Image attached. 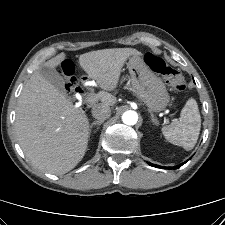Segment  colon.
<instances>
[{"instance_id": "1", "label": "colon", "mask_w": 225, "mask_h": 225, "mask_svg": "<svg viewBox=\"0 0 225 225\" xmlns=\"http://www.w3.org/2000/svg\"><path fill=\"white\" fill-rule=\"evenodd\" d=\"M145 62L152 71L163 76L171 89L175 91H182L185 89L186 85L183 75L177 69L171 67L164 59L153 53H147L145 55ZM63 71L67 76L66 86L69 94L73 96L74 94L81 92L76 78L72 75L71 64L65 62L63 64Z\"/></svg>"}]
</instances>
